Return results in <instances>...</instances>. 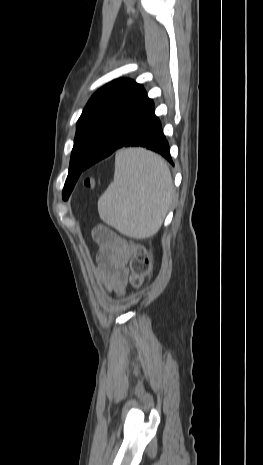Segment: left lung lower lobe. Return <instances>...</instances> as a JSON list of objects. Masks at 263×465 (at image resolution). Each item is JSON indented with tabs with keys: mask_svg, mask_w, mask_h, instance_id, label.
Returning a JSON list of instances; mask_svg holds the SVG:
<instances>
[{
	"mask_svg": "<svg viewBox=\"0 0 263 465\" xmlns=\"http://www.w3.org/2000/svg\"><path fill=\"white\" fill-rule=\"evenodd\" d=\"M124 146H142L153 150L173 165L169 144L154 113V104L144 88L102 133L84 164V170Z\"/></svg>",
	"mask_w": 263,
	"mask_h": 465,
	"instance_id": "1",
	"label": "left lung lower lobe"
}]
</instances>
